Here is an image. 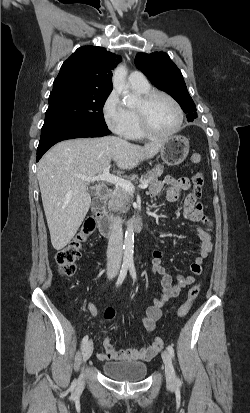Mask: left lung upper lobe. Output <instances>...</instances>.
Wrapping results in <instances>:
<instances>
[{
  "label": "left lung upper lobe",
  "instance_id": "1",
  "mask_svg": "<svg viewBox=\"0 0 250 413\" xmlns=\"http://www.w3.org/2000/svg\"><path fill=\"white\" fill-rule=\"evenodd\" d=\"M135 65L157 88L170 94L187 113V119L197 117L196 107L188 93L181 71L164 52L138 53Z\"/></svg>",
  "mask_w": 250,
  "mask_h": 413
}]
</instances>
